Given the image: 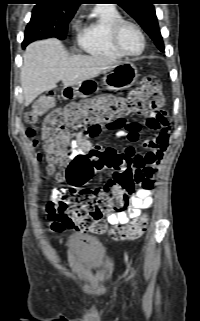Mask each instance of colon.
Returning <instances> with one entry per match:
<instances>
[{
    "label": "colon",
    "instance_id": "obj_1",
    "mask_svg": "<svg viewBox=\"0 0 200 321\" xmlns=\"http://www.w3.org/2000/svg\"><path fill=\"white\" fill-rule=\"evenodd\" d=\"M51 94L41 97L25 114L27 123H34L55 105ZM164 103L159 79L144 78L140 85L122 98L101 96L55 109L47 114L43 125V141L47 173L63 178L69 186L75 203L70 206L65 219L78 230L95 234H110L116 240H134L142 236L147 227L143 215L128 225L109 229L103 216L122 211L130 195L139 186L141 177L131 161L115 152L92 150L71 156L70 138L75 135L95 137L106 129L120 125L124 117L156 111ZM27 136L36 144L35 130L28 129ZM112 170V177L101 188H83L97 172ZM53 211L52 205H46Z\"/></svg>",
    "mask_w": 200,
    "mask_h": 321
}]
</instances>
